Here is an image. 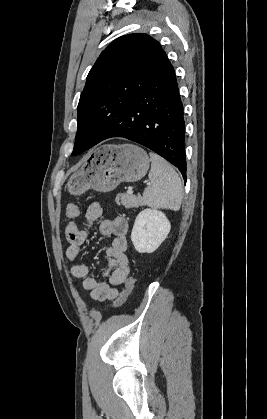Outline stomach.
<instances>
[{
	"label": "stomach",
	"mask_w": 267,
	"mask_h": 419,
	"mask_svg": "<svg viewBox=\"0 0 267 419\" xmlns=\"http://www.w3.org/2000/svg\"><path fill=\"white\" fill-rule=\"evenodd\" d=\"M150 166L148 154L134 144H104L89 153L81 167L70 176L67 189L80 195L89 189L114 190L121 182L143 178Z\"/></svg>",
	"instance_id": "obj_1"
}]
</instances>
